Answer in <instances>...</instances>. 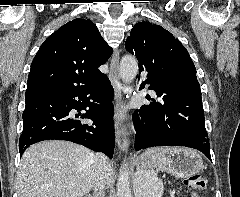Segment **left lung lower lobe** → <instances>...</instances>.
<instances>
[{
  "mask_svg": "<svg viewBox=\"0 0 240 197\" xmlns=\"http://www.w3.org/2000/svg\"><path fill=\"white\" fill-rule=\"evenodd\" d=\"M158 98L156 101L147 96L153 102L143 105L133 114L135 150L186 146L201 151L211 160L201 92L184 90Z\"/></svg>",
  "mask_w": 240,
  "mask_h": 197,
  "instance_id": "0a47b994",
  "label": "left lung lower lobe"
}]
</instances>
